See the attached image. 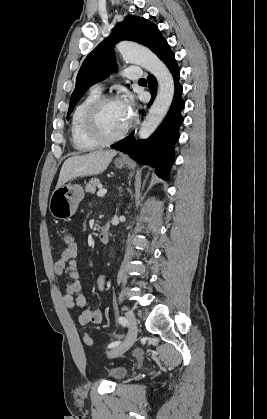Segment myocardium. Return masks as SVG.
I'll list each match as a JSON object with an SVG mask.
<instances>
[{
	"instance_id": "obj_1",
	"label": "myocardium",
	"mask_w": 267,
	"mask_h": 419,
	"mask_svg": "<svg viewBox=\"0 0 267 419\" xmlns=\"http://www.w3.org/2000/svg\"><path fill=\"white\" fill-rule=\"evenodd\" d=\"M115 101H120L119 97L114 95L101 96L96 99L86 111L84 117L85 131L93 141L100 145H107L121 140L125 137L132 126L133 120L130 119L122 131L114 136H107L102 132L99 125L100 113L107 104Z\"/></svg>"
}]
</instances>
